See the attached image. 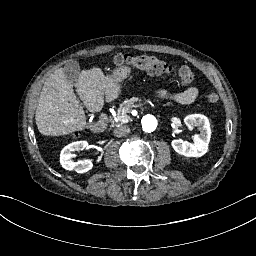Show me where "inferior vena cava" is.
Here are the masks:
<instances>
[{
	"instance_id": "inferior-vena-cava-1",
	"label": "inferior vena cava",
	"mask_w": 256,
	"mask_h": 256,
	"mask_svg": "<svg viewBox=\"0 0 256 256\" xmlns=\"http://www.w3.org/2000/svg\"><path fill=\"white\" fill-rule=\"evenodd\" d=\"M130 133V127L128 125H120L113 130L115 137H124Z\"/></svg>"
}]
</instances>
